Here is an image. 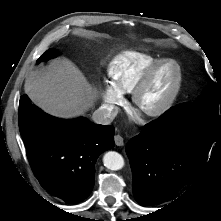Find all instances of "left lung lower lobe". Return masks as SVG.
I'll use <instances>...</instances> for the list:
<instances>
[{"instance_id": "obj_1", "label": "left lung lower lobe", "mask_w": 221, "mask_h": 221, "mask_svg": "<svg viewBox=\"0 0 221 221\" xmlns=\"http://www.w3.org/2000/svg\"><path fill=\"white\" fill-rule=\"evenodd\" d=\"M172 110L145 125L126 146L133 194L141 205L172 199L203 168L213 142L221 137V127L173 121Z\"/></svg>"}]
</instances>
